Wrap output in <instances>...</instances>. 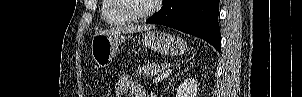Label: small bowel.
Here are the masks:
<instances>
[{"instance_id":"small-bowel-1","label":"small bowel","mask_w":302,"mask_h":97,"mask_svg":"<svg viewBox=\"0 0 302 97\" xmlns=\"http://www.w3.org/2000/svg\"><path fill=\"white\" fill-rule=\"evenodd\" d=\"M115 89L117 97H126L128 93H132L134 97H147L145 89L128 74L120 76Z\"/></svg>"}]
</instances>
